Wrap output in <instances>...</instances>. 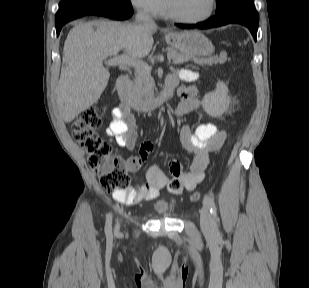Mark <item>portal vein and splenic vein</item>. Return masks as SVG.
<instances>
[{
    "label": "portal vein and splenic vein",
    "instance_id": "18ae733b",
    "mask_svg": "<svg viewBox=\"0 0 309 288\" xmlns=\"http://www.w3.org/2000/svg\"><path fill=\"white\" fill-rule=\"evenodd\" d=\"M106 65L108 66H134L137 67V69H146L151 70L150 66L143 62L140 59L137 58H131L127 55H120V56H114L105 61Z\"/></svg>",
    "mask_w": 309,
    "mask_h": 288
}]
</instances>
